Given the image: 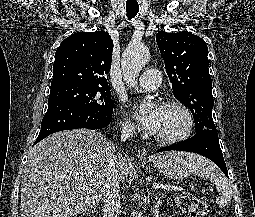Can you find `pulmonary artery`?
Returning <instances> with one entry per match:
<instances>
[{"label":"pulmonary artery","instance_id":"pulmonary-artery-1","mask_svg":"<svg viewBox=\"0 0 255 217\" xmlns=\"http://www.w3.org/2000/svg\"><path fill=\"white\" fill-rule=\"evenodd\" d=\"M160 72L157 69H147L138 81V88L142 92L156 90L160 86Z\"/></svg>","mask_w":255,"mask_h":217}]
</instances>
